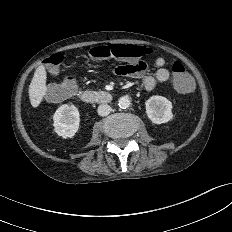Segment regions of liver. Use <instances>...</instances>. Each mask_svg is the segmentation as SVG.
Returning a JSON list of instances; mask_svg holds the SVG:
<instances>
[{
	"label": "liver",
	"mask_w": 232,
	"mask_h": 232,
	"mask_svg": "<svg viewBox=\"0 0 232 232\" xmlns=\"http://www.w3.org/2000/svg\"><path fill=\"white\" fill-rule=\"evenodd\" d=\"M47 73L43 65L38 66L29 85V99L32 107L36 108L41 103L47 91Z\"/></svg>",
	"instance_id": "liver-1"
}]
</instances>
